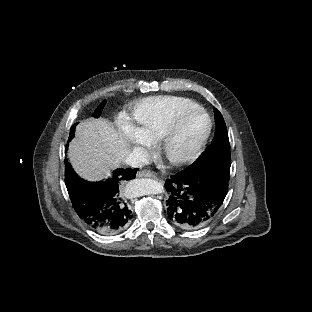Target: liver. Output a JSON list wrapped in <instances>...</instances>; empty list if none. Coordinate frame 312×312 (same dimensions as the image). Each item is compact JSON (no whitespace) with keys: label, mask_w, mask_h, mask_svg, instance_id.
<instances>
[{"label":"liver","mask_w":312,"mask_h":312,"mask_svg":"<svg viewBox=\"0 0 312 312\" xmlns=\"http://www.w3.org/2000/svg\"><path fill=\"white\" fill-rule=\"evenodd\" d=\"M128 151L127 140L106 120L88 119L77 127L68 157L74 169L90 180L106 177Z\"/></svg>","instance_id":"obj_1"}]
</instances>
